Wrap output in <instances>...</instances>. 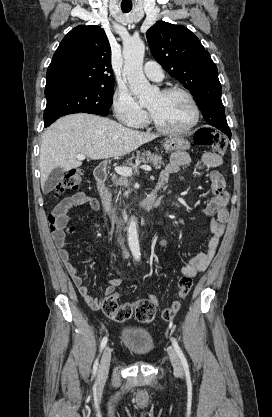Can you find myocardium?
<instances>
[{
  "label": "myocardium",
  "instance_id": "myocardium-1",
  "mask_svg": "<svg viewBox=\"0 0 272 417\" xmlns=\"http://www.w3.org/2000/svg\"><path fill=\"white\" fill-rule=\"evenodd\" d=\"M160 94L162 96H169L172 94H182L184 95L188 101L190 102L192 109H193V118L191 120V122L184 128L181 129H169L166 128L164 126H162L161 124H159L157 122V120L154 118L153 114L148 111V122L150 123V125H152L157 131L166 134V135H174V136H178V135H185L187 133H189L199 122L200 119V108L199 105L195 99V97L193 96V94L188 91L185 88L182 87H169V88H165L163 89Z\"/></svg>",
  "mask_w": 272,
  "mask_h": 417
}]
</instances>
